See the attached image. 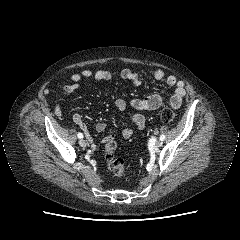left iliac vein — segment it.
<instances>
[{"instance_id":"4c4485c4","label":"left iliac vein","mask_w":240,"mask_h":240,"mask_svg":"<svg viewBox=\"0 0 240 240\" xmlns=\"http://www.w3.org/2000/svg\"><path fill=\"white\" fill-rule=\"evenodd\" d=\"M155 145H156V147H161L163 145L162 140H157Z\"/></svg>"}]
</instances>
